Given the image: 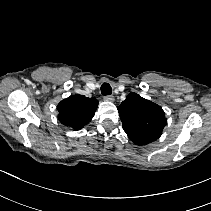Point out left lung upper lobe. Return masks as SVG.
Returning <instances> with one entry per match:
<instances>
[{"label": "left lung upper lobe", "instance_id": "1", "mask_svg": "<svg viewBox=\"0 0 211 211\" xmlns=\"http://www.w3.org/2000/svg\"><path fill=\"white\" fill-rule=\"evenodd\" d=\"M117 109L124 131L136 145H146L157 140L167 122L159 105L133 92Z\"/></svg>", "mask_w": 211, "mask_h": 211}]
</instances>
